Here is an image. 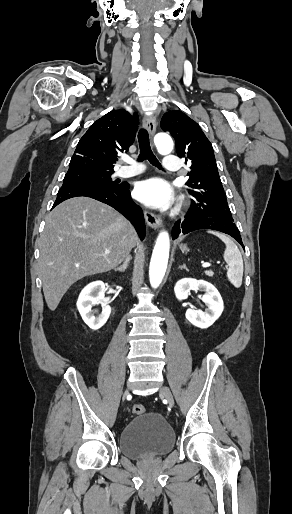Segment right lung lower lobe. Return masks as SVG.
Here are the masks:
<instances>
[{
  "label": "right lung lower lobe",
  "instance_id": "obj_1",
  "mask_svg": "<svg viewBox=\"0 0 292 514\" xmlns=\"http://www.w3.org/2000/svg\"><path fill=\"white\" fill-rule=\"evenodd\" d=\"M129 188L128 183H123L118 187H105L88 183H65L58 191L53 208L72 197L85 196L96 199L123 214L134 225L139 237L144 239L146 227L143 212L132 201Z\"/></svg>",
  "mask_w": 292,
  "mask_h": 514
}]
</instances>
